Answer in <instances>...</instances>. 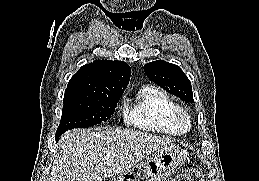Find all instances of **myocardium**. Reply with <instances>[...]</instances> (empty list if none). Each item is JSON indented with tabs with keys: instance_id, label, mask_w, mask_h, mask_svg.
<instances>
[{
	"instance_id": "myocardium-1",
	"label": "myocardium",
	"mask_w": 259,
	"mask_h": 181,
	"mask_svg": "<svg viewBox=\"0 0 259 181\" xmlns=\"http://www.w3.org/2000/svg\"><path fill=\"white\" fill-rule=\"evenodd\" d=\"M181 120L186 126H188L190 123V116L184 111L181 115Z\"/></svg>"
}]
</instances>
